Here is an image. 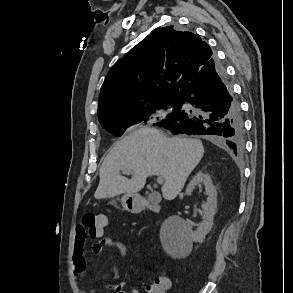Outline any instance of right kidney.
<instances>
[{"label":"right kidney","instance_id":"ca27d5eb","mask_svg":"<svg viewBox=\"0 0 293 293\" xmlns=\"http://www.w3.org/2000/svg\"><path fill=\"white\" fill-rule=\"evenodd\" d=\"M201 185L205 187L207 200L201 205L204 215L197 230L192 231L189 224L178 217L170 218L180 222V225L176 226L173 231L168 233L167 223L161 229V244L168 254L173 255L175 251L183 247H190L193 241L202 243L213 227L214 215L217 209V192L211 177L203 172H198L189 182L186 194L191 195L193 190Z\"/></svg>","mask_w":293,"mask_h":293}]
</instances>
